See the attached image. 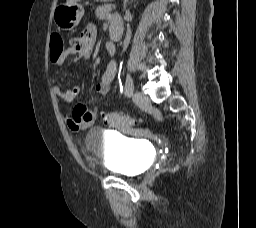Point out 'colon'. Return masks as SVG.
<instances>
[{
  "instance_id": "5ec220e1",
  "label": "colon",
  "mask_w": 256,
  "mask_h": 228,
  "mask_svg": "<svg viewBox=\"0 0 256 228\" xmlns=\"http://www.w3.org/2000/svg\"><path fill=\"white\" fill-rule=\"evenodd\" d=\"M50 58L56 59L58 58L62 52L64 51V42L62 37L58 34H52L50 40ZM103 122L106 125L112 127H123V126H131L137 123V119L121 114V113H104L102 115Z\"/></svg>"
}]
</instances>
